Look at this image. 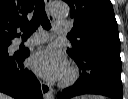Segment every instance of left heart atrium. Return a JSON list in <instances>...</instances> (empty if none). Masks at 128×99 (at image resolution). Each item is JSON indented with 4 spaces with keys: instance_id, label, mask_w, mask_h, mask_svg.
<instances>
[{
    "instance_id": "1",
    "label": "left heart atrium",
    "mask_w": 128,
    "mask_h": 99,
    "mask_svg": "<svg viewBox=\"0 0 128 99\" xmlns=\"http://www.w3.org/2000/svg\"><path fill=\"white\" fill-rule=\"evenodd\" d=\"M30 68L48 80L60 79L66 69L65 56L49 47L35 52L29 59Z\"/></svg>"
}]
</instances>
